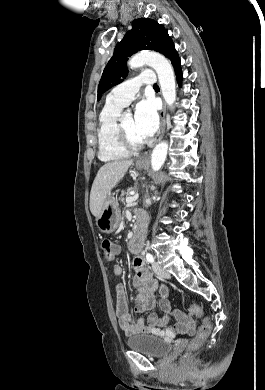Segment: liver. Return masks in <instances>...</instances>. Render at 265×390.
Listing matches in <instances>:
<instances>
[{
    "label": "liver",
    "instance_id": "6515ba94",
    "mask_svg": "<svg viewBox=\"0 0 265 390\" xmlns=\"http://www.w3.org/2000/svg\"><path fill=\"white\" fill-rule=\"evenodd\" d=\"M133 160H121L104 164L97 172L90 192V211L100 215L112 188L125 176Z\"/></svg>",
    "mask_w": 265,
    "mask_h": 390
}]
</instances>
